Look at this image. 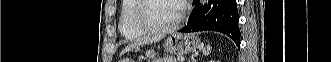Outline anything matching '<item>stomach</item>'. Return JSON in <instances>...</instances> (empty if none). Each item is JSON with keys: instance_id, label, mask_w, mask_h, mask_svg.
Segmentation results:
<instances>
[{"instance_id": "0dacf381", "label": "stomach", "mask_w": 331, "mask_h": 62, "mask_svg": "<svg viewBox=\"0 0 331 62\" xmlns=\"http://www.w3.org/2000/svg\"><path fill=\"white\" fill-rule=\"evenodd\" d=\"M198 47L199 39L196 36L190 34L183 35L180 33H173L164 42V48L166 52L175 55H183L189 52H193ZM146 54L149 58H153L155 56L153 50L147 51Z\"/></svg>"}]
</instances>
